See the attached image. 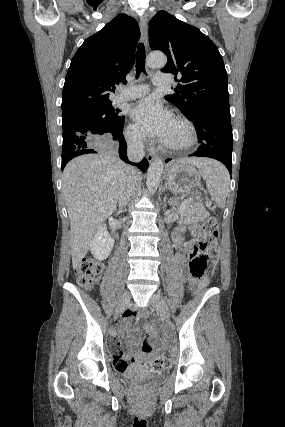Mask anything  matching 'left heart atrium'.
Returning a JSON list of instances; mask_svg holds the SVG:
<instances>
[{
  "label": "left heart atrium",
  "mask_w": 285,
  "mask_h": 427,
  "mask_svg": "<svg viewBox=\"0 0 285 427\" xmlns=\"http://www.w3.org/2000/svg\"><path fill=\"white\" fill-rule=\"evenodd\" d=\"M131 117L146 134L162 141L173 121L171 113L152 97L138 101L131 110Z\"/></svg>",
  "instance_id": "39dd6f15"
}]
</instances>
